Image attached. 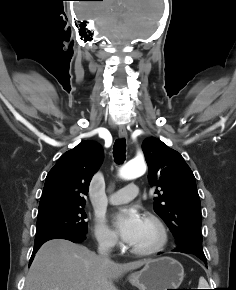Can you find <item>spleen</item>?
<instances>
[{
	"mask_svg": "<svg viewBox=\"0 0 236 290\" xmlns=\"http://www.w3.org/2000/svg\"><path fill=\"white\" fill-rule=\"evenodd\" d=\"M207 285H208L207 281L203 277H200L199 279V287H201L200 289H206Z\"/></svg>",
	"mask_w": 236,
	"mask_h": 290,
	"instance_id": "obj_1",
	"label": "spleen"
}]
</instances>
